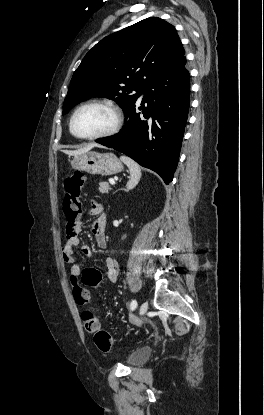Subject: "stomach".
Wrapping results in <instances>:
<instances>
[{"label":"stomach","instance_id":"stomach-1","mask_svg":"<svg viewBox=\"0 0 264 415\" xmlns=\"http://www.w3.org/2000/svg\"><path fill=\"white\" fill-rule=\"evenodd\" d=\"M71 166L76 170L102 176L117 174L124 169L121 161L113 153H98L95 151L74 156Z\"/></svg>","mask_w":264,"mask_h":415}]
</instances>
